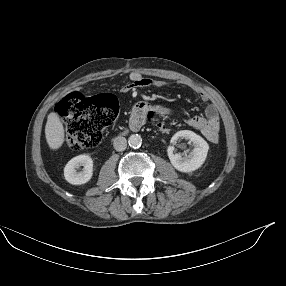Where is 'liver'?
Returning a JSON list of instances; mask_svg holds the SVG:
<instances>
[{"label":"liver","instance_id":"1","mask_svg":"<svg viewBox=\"0 0 286 286\" xmlns=\"http://www.w3.org/2000/svg\"><path fill=\"white\" fill-rule=\"evenodd\" d=\"M45 137L48 146L52 150L59 149L64 143V127L55 112L48 115L45 126Z\"/></svg>","mask_w":286,"mask_h":286}]
</instances>
